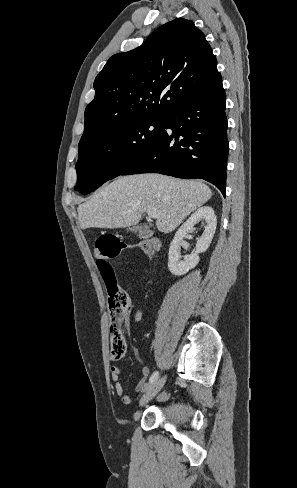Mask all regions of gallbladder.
I'll list each match as a JSON object with an SVG mask.
<instances>
[{
  "label": "gallbladder",
  "instance_id": "obj_1",
  "mask_svg": "<svg viewBox=\"0 0 297 488\" xmlns=\"http://www.w3.org/2000/svg\"><path fill=\"white\" fill-rule=\"evenodd\" d=\"M148 227L147 226H134L132 228H128L127 231L131 232H138V231H145Z\"/></svg>",
  "mask_w": 297,
  "mask_h": 488
}]
</instances>
